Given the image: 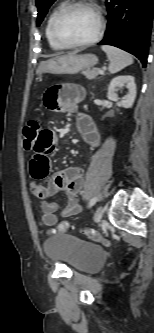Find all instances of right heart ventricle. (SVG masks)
Returning <instances> with one entry per match:
<instances>
[{"instance_id":"e07e8e85","label":"right heart ventricle","mask_w":154,"mask_h":333,"mask_svg":"<svg viewBox=\"0 0 154 333\" xmlns=\"http://www.w3.org/2000/svg\"><path fill=\"white\" fill-rule=\"evenodd\" d=\"M63 6V3H60L58 5H56L51 12L49 13L47 20H46V24H45V36L46 39L50 45V47L54 50H63L66 49L63 46H61L60 44H58L56 42V40L54 39L53 35H52V31H51V24H52V20L54 18V16L56 15V13L58 12V10Z\"/></svg>"}]
</instances>
